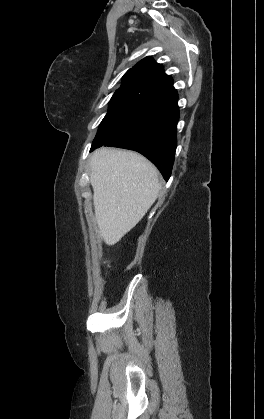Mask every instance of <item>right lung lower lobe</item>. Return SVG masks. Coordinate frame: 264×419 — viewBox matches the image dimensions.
Wrapping results in <instances>:
<instances>
[{"mask_svg":"<svg viewBox=\"0 0 264 419\" xmlns=\"http://www.w3.org/2000/svg\"><path fill=\"white\" fill-rule=\"evenodd\" d=\"M177 100L176 92L147 100L135 117L103 145L141 153L159 169L167 181L177 146ZM101 146L91 148L90 151Z\"/></svg>","mask_w":264,"mask_h":419,"instance_id":"right-lung-lower-lobe-1","label":"right lung lower lobe"}]
</instances>
